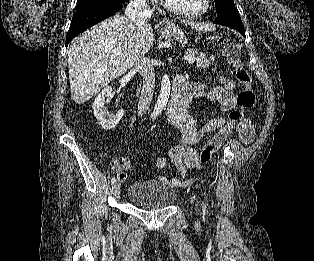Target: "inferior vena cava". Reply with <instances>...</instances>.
<instances>
[{"mask_svg": "<svg viewBox=\"0 0 314 261\" xmlns=\"http://www.w3.org/2000/svg\"><path fill=\"white\" fill-rule=\"evenodd\" d=\"M125 14L135 26V30L139 31L145 24V21L151 16V11L147 0H133L126 8ZM134 67L143 76V86L137 108L138 116H142L149 109L153 99L155 73L152 63L144 54L136 56Z\"/></svg>", "mask_w": 314, "mask_h": 261, "instance_id": "inferior-vena-cava-1", "label": "inferior vena cava"}]
</instances>
